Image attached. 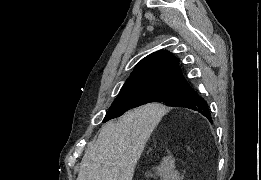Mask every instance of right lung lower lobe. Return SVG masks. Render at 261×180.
I'll use <instances>...</instances> for the list:
<instances>
[{
  "label": "right lung lower lobe",
  "instance_id": "right-lung-lower-lobe-1",
  "mask_svg": "<svg viewBox=\"0 0 261 180\" xmlns=\"http://www.w3.org/2000/svg\"><path fill=\"white\" fill-rule=\"evenodd\" d=\"M172 106H175V107L182 106V107H186V108L198 111L199 113L204 115L206 118H208L212 122L208 104L206 103V101L203 98L199 97L197 94H195L191 97L185 98L183 100H180V101L174 103Z\"/></svg>",
  "mask_w": 261,
  "mask_h": 180
}]
</instances>
